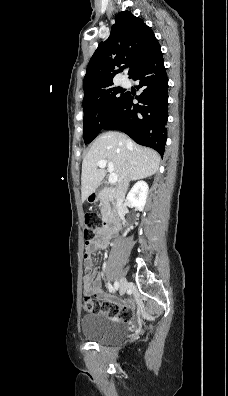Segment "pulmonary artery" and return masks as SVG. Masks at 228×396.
Returning a JSON list of instances; mask_svg holds the SVG:
<instances>
[{
    "mask_svg": "<svg viewBox=\"0 0 228 396\" xmlns=\"http://www.w3.org/2000/svg\"><path fill=\"white\" fill-rule=\"evenodd\" d=\"M122 84H123L124 86H127V85L129 84V80L126 79V78H124V79L122 80Z\"/></svg>",
    "mask_w": 228,
    "mask_h": 396,
    "instance_id": "1",
    "label": "pulmonary artery"
}]
</instances>
